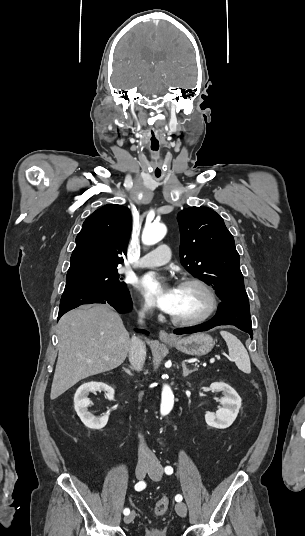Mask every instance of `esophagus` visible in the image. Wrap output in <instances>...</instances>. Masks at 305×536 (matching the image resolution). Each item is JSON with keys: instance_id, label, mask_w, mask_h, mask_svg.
<instances>
[{"instance_id": "esophagus-1", "label": "esophagus", "mask_w": 305, "mask_h": 536, "mask_svg": "<svg viewBox=\"0 0 305 536\" xmlns=\"http://www.w3.org/2000/svg\"><path fill=\"white\" fill-rule=\"evenodd\" d=\"M159 338L163 342H172L175 340V338L171 336L169 333H167L165 330H160Z\"/></svg>"}]
</instances>
